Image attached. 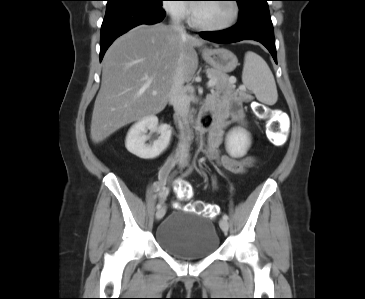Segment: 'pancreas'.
<instances>
[{"mask_svg": "<svg viewBox=\"0 0 365 299\" xmlns=\"http://www.w3.org/2000/svg\"><path fill=\"white\" fill-rule=\"evenodd\" d=\"M206 74L210 78L216 80V85L214 88L219 92H226L231 95L234 100L247 101L250 96L243 91H234L233 85L230 83V78L227 74L219 72L215 69H207Z\"/></svg>", "mask_w": 365, "mask_h": 299, "instance_id": "pancreas-1", "label": "pancreas"}]
</instances>
